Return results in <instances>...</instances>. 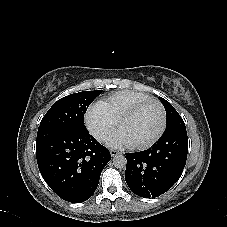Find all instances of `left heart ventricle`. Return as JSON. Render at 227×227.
Returning a JSON list of instances; mask_svg holds the SVG:
<instances>
[{
  "mask_svg": "<svg viewBox=\"0 0 227 227\" xmlns=\"http://www.w3.org/2000/svg\"><path fill=\"white\" fill-rule=\"evenodd\" d=\"M162 114L156 103L143 106L133 119L126 122L120 131L134 144L149 141L161 126Z\"/></svg>",
  "mask_w": 227,
  "mask_h": 227,
  "instance_id": "obj_1",
  "label": "left heart ventricle"
}]
</instances>
